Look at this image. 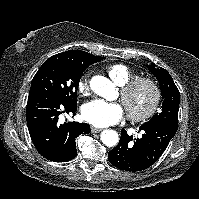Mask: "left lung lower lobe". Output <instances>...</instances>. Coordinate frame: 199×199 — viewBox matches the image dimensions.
Listing matches in <instances>:
<instances>
[{
  "mask_svg": "<svg viewBox=\"0 0 199 199\" xmlns=\"http://www.w3.org/2000/svg\"><path fill=\"white\" fill-rule=\"evenodd\" d=\"M142 137L133 141L125 130L121 131L118 145L109 151L110 163L125 171H141L153 165L163 154L177 129L163 124H143Z\"/></svg>",
  "mask_w": 199,
  "mask_h": 199,
  "instance_id": "1",
  "label": "left lung lower lobe"
}]
</instances>
